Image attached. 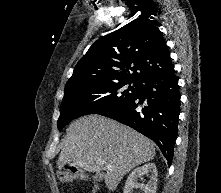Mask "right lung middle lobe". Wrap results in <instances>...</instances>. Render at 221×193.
Returning a JSON list of instances; mask_svg holds the SVG:
<instances>
[{"label":"right lung middle lobe","instance_id":"1","mask_svg":"<svg viewBox=\"0 0 221 193\" xmlns=\"http://www.w3.org/2000/svg\"><path fill=\"white\" fill-rule=\"evenodd\" d=\"M127 87V84H131ZM140 82L122 81L64 90V98L60 107L58 129L61 131L73 119L85 114H98L112 110L126 103L137 95ZM109 95L97 99L100 94Z\"/></svg>","mask_w":221,"mask_h":193}]
</instances>
